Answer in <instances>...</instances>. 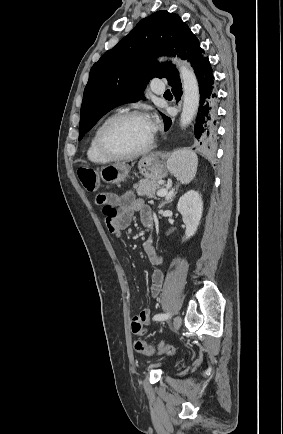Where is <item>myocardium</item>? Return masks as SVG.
Here are the masks:
<instances>
[{"instance_id": "myocardium-1", "label": "myocardium", "mask_w": 283, "mask_h": 434, "mask_svg": "<svg viewBox=\"0 0 283 434\" xmlns=\"http://www.w3.org/2000/svg\"><path fill=\"white\" fill-rule=\"evenodd\" d=\"M133 118L148 119L146 113L142 111L133 110V111H126V112L115 114L114 116L108 118L101 125V127L98 129L96 134V145L102 155H104L105 157L111 160H125V159H132V158L142 156L148 153L153 148L155 142L153 134L146 146L134 152L120 153L114 151L112 148L109 147L106 141V135L109 129L119 122L128 119H133Z\"/></svg>"}]
</instances>
